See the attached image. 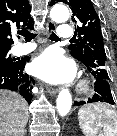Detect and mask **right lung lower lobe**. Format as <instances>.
I'll list each match as a JSON object with an SVG mask.
<instances>
[{"mask_svg": "<svg viewBox=\"0 0 117 136\" xmlns=\"http://www.w3.org/2000/svg\"><path fill=\"white\" fill-rule=\"evenodd\" d=\"M29 58L14 61L11 64L0 63V89L18 91L30 104L31 88L34 79L24 73L25 62Z\"/></svg>", "mask_w": 117, "mask_h": 136, "instance_id": "98d812e1", "label": "right lung lower lobe"}]
</instances>
